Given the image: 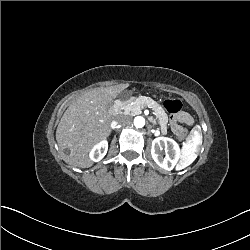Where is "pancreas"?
<instances>
[{
	"label": "pancreas",
	"instance_id": "pancreas-1",
	"mask_svg": "<svg viewBox=\"0 0 250 250\" xmlns=\"http://www.w3.org/2000/svg\"><path fill=\"white\" fill-rule=\"evenodd\" d=\"M130 102H131V100H128V101H124L123 103H124V107H125V113L127 112V113H131V114H134V112H135V109H136V107H137V104H135V105H130Z\"/></svg>",
	"mask_w": 250,
	"mask_h": 250
}]
</instances>
